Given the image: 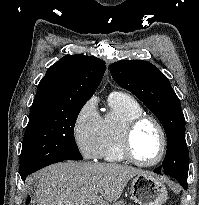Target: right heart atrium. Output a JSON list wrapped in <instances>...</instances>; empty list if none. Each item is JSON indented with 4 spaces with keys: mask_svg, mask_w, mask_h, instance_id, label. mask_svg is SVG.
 I'll return each mask as SVG.
<instances>
[{
    "mask_svg": "<svg viewBox=\"0 0 199 205\" xmlns=\"http://www.w3.org/2000/svg\"><path fill=\"white\" fill-rule=\"evenodd\" d=\"M101 117L97 111L96 98L89 99L79 110L73 127L75 144L86 159L100 157Z\"/></svg>",
    "mask_w": 199,
    "mask_h": 205,
    "instance_id": "1",
    "label": "right heart atrium"
}]
</instances>
